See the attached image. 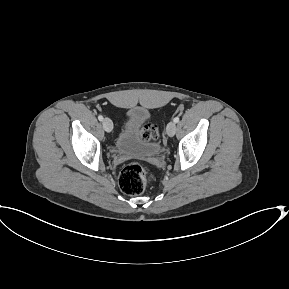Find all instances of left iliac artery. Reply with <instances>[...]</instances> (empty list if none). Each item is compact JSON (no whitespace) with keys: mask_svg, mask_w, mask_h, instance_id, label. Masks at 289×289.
Segmentation results:
<instances>
[{"mask_svg":"<svg viewBox=\"0 0 289 289\" xmlns=\"http://www.w3.org/2000/svg\"><path fill=\"white\" fill-rule=\"evenodd\" d=\"M173 121H174L175 123H178V122H179V117H175Z\"/></svg>","mask_w":289,"mask_h":289,"instance_id":"1","label":"left iliac artery"}]
</instances>
